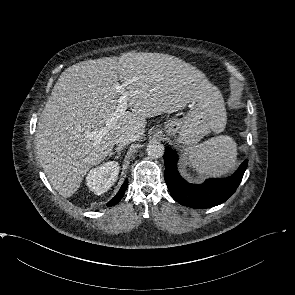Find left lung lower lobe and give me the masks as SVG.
I'll return each mask as SVG.
<instances>
[{
	"label": "left lung lower lobe",
	"mask_w": 295,
	"mask_h": 295,
	"mask_svg": "<svg viewBox=\"0 0 295 295\" xmlns=\"http://www.w3.org/2000/svg\"><path fill=\"white\" fill-rule=\"evenodd\" d=\"M178 155L165 148V182L170 194L178 203L192 208H209L225 202L236 191L248 165L245 160L229 178L208 179L203 184L186 182L177 171Z\"/></svg>",
	"instance_id": "left-lung-lower-lobe-1"
}]
</instances>
